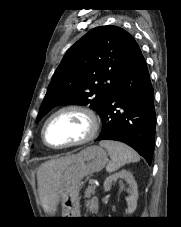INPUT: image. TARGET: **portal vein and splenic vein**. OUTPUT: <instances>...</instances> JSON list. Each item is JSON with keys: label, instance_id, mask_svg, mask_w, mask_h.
<instances>
[{"label": "portal vein and splenic vein", "instance_id": "obj_1", "mask_svg": "<svg viewBox=\"0 0 181 227\" xmlns=\"http://www.w3.org/2000/svg\"><path fill=\"white\" fill-rule=\"evenodd\" d=\"M89 183H90L91 185H94V184H95L94 179H91V180L89 181Z\"/></svg>", "mask_w": 181, "mask_h": 227}]
</instances>
